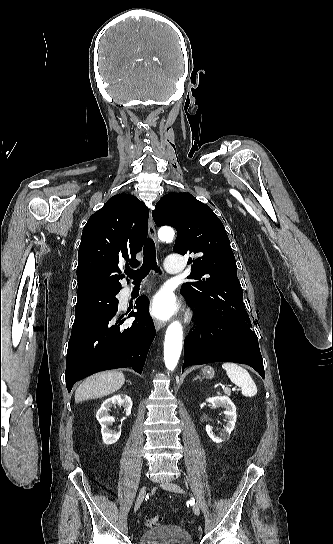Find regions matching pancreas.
Instances as JSON below:
<instances>
[{
	"instance_id": "obj_1",
	"label": "pancreas",
	"mask_w": 333,
	"mask_h": 544,
	"mask_svg": "<svg viewBox=\"0 0 333 544\" xmlns=\"http://www.w3.org/2000/svg\"><path fill=\"white\" fill-rule=\"evenodd\" d=\"M226 395L230 396L231 392L230 391H224Z\"/></svg>"
}]
</instances>
